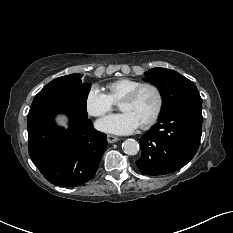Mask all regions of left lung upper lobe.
Listing matches in <instances>:
<instances>
[{
    "instance_id": "left-lung-upper-lobe-1",
    "label": "left lung upper lobe",
    "mask_w": 233,
    "mask_h": 233,
    "mask_svg": "<svg viewBox=\"0 0 233 233\" xmlns=\"http://www.w3.org/2000/svg\"><path fill=\"white\" fill-rule=\"evenodd\" d=\"M144 80L158 87L163 99L161 114L181 105L202 103L196 85L176 71L153 68L145 73Z\"/></svg>"
}]
</instances>
